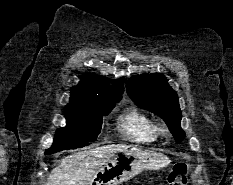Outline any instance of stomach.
Masks as SVG:
<instances>
[{"mask_svg":"<svg viewBox=\"0 0 233 185\" xmlns=\"http://www.w3.org/2000/svg\"><path fill=\"white\" fill-rule=\"evenodd\" d=\"M169 162V158L161 153L128 147L112 156L86 185H120L143 170H159Z\"/></svg>","mask_w":233,"mask_h":185,"instance_id":"stomach-1","label":"stomach"}]
</instances>
